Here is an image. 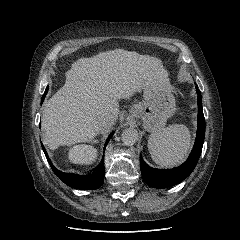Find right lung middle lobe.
Masks as SVG:
<instances>
[{
    "label": "right lung middle lobe",
    "mask_w": 240,
    "mask_h": 240,
    "mask_svg": "<svg viewBox=\"0 0 240 240\" xmlns=\"http://www.w3.org/2000/svg\"><path fill=\"white\" fill-rule=\"evenodd\" d=\"M47 91H48V87L46 88L45 93H44L43 96H45L47 94Z\"/></svg>",
    "instance_id": "obj_1"
}]
</instances>
